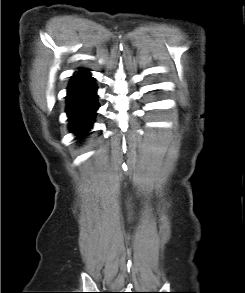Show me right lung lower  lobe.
Segmentation results:
<instances>
[{"label":"right lung lower lobe","mask_w":245,"mask_h":293,"mask_svg":"<svg viewBox=\"0 0 245 293\" xmlns=\"http://www.w3.org/2000/svg\"><path fill=\"white\" fill-rule=\"evenodd\" d=\"M96 89L94 78L86 70L72 76L68 87L66 112L69 129L81 137L90 131L99 107Z\"/></svg>","instance_id":"obj_1"}]
</instances>
